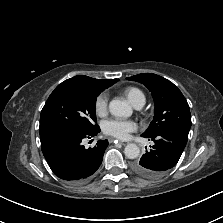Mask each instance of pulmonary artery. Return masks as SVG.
<instances>
[{
  "label": "pulmonary artery",
  "instance_id": "1",
  "mask_svg": "<svg viewBox=\"0 0 223 223\" xmlns=\"http://www.w3.org/2000/svg\"><path fill=\"white\" fill-rule=\"evenodd\" d=\"M144 104L143 103H141V104H138L137 106H135L137 109H140V108H142V106H143Z\"/></svg>",
  "mask_w": 223,
  "mask_h": 223
}]
</instances>
